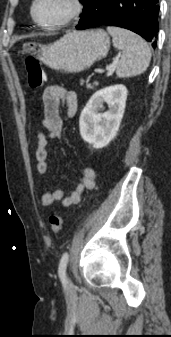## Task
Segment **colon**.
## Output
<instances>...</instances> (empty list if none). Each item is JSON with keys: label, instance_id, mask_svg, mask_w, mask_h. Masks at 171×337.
Returning a JSON list of instances; mask_svg holds the SVG:
<instances>
[{"label": "colon", "instance_id": "5ec220e1", "mask_svg": "<svg viewBox=\"0 0 171 337\" xmlns=\"http://www.w3.org/2000/svg\"><path fill=\"white\" fill-rule=\"evenodd\" d=\"M25 67L28 74L29 85L33 88H39L43 85L46 75L42 63L36 57H28L25 60ZM49 226L52 232L59 233L63 226L62 216L54 213L49 218Z\"/></svg>", "mask_w": 171, "mask_h": 337}]
</instances>
